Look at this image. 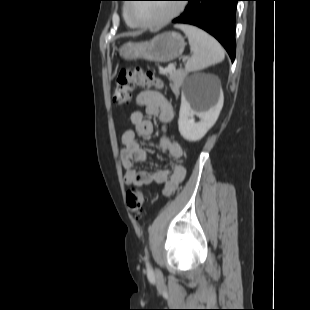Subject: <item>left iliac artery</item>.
<instances>
[{
  "instance_id": "44dca946",
  "label": "left iliac artery",
  "mask_w": 310,
  "mask_h": 310,
  "mask_svg": "<svg viewBox=\"0 0 310 310\" xmlns=\"http://www.w3.org/2000/svg\"><path fill=\"white\" fill-rule=\"evenodd\" d=\"M145 259H146V267H147V269L151 270V265H150V262L148 260V254H146Z\"/></svg>"
}]
</instances>
